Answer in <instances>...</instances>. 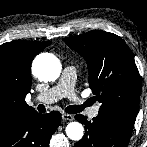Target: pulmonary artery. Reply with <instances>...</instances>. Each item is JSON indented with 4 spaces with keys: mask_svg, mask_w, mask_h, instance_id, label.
Instances as JSON below:
<instances>
[{
    "mask_svg": "<svg viewBox=\"0 0 147 147\" xmlns=\"http://www.w3.org/2000/svg\"><path fill=\"white\" fill-rule=\"evenodd\" d=\"M76 82V68L74 66H66L61 74L58 83L45 92L40 93L36 97V101L41 103H53L62 98H68L74 102H81L74 90ZM99 113V106L95 105L88 111V115L94 118Z\"/></svg>",
    "mask_w": 147,
    "mask_h": 147,
    "instance_id": "obj_1",
    "label": "pulmonary artery"
}]
</instances>
